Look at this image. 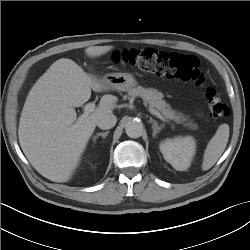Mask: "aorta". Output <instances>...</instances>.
Segmentation results:
<instances>
[{"label": "aorta", "mask_w": 250, "mask_h": 250, "mask_svg": "<svg viewBox=\"0 0 250 250\" xmlns=\"http://www.w3.org/2000/svg\"><path fill=\"white\" fill-rule=\"evenodd\" d=\"M125 132L130 138H138L143 133V125L135 119L129 120L125 125Z\"/></svg>", "instance_id": "762f6f07"}]
</instances>
